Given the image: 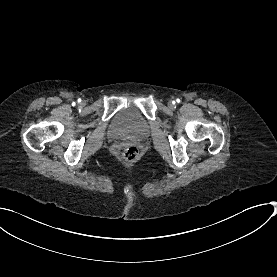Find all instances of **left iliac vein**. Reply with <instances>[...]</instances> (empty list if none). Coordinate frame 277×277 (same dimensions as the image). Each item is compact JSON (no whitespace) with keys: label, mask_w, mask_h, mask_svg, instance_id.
<instances>
[{"label":"left iliac vein","mask_w":277,"mask_h":277,"mask_svg":"<svg viewBox=\"0 0 277 277\" xmlns=\"http://www.w3.org/2000/svg\"><path fill=\"white\" fill-rule=\"evenodd\" d=\"M168 106H169V107H173V102H172V101H169Z\"/></svg>","instance_id":"left-iliac-vein-1"}]
</instances>
